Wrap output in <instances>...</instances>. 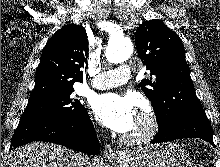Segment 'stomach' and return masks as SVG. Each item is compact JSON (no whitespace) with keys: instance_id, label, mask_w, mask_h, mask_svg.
Wrapping results in <instances>:
<instances>
[{"instance_id":"1","label":"stomach","mask_w":220,"mask_h":167,"mask_svg":"<svg viewBox=\"0 0 220 167\" xmlns=\"http://www.w3.org/2000/svg\"><path fill=\"white\" fill-rule=\"evenodd\" d=\"M115 167H192L187 152L175 143H164L125 152Z\"/></svg>"}]
</instances>
